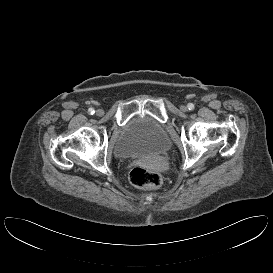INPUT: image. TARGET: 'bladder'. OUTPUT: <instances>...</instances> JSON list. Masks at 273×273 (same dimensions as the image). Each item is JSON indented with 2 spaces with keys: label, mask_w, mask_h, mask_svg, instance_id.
Returning <instances> with one entry per match:
<instances>
[{
  "label": "bladder",
  "mask_w": 273,
  "mask_h": 273,
  "mask_svg": "<svg viewBox=\"0 0 273 273\" xmlns=\"http://www.w3.org/2000/svg\"><path fill=\"white\" fill-rule=\"evenodd\" d=\"M171 147L162 124L148 116H134L119 130L113 142V154L119 159L162 155Z\"/></svg>",
  "instance_id": "bladder-1"
}]
</instances>
